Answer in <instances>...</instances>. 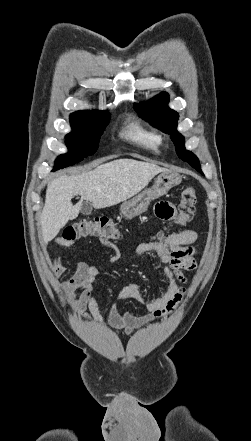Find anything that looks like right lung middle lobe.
<instances>
[{"label": "right lung middle lobe", "instance_id": "obj_1", "mask_svg": "<svg viewBox=\"0 0 251 441\" xmlns=\"http://www.w3.org/2000/svg\"><path fill=\"white\" fill-rule=\"evenodd\" d=\"M109 114L104 111H80L70 115L72 132L65 136L69 152L58 157L53 171L73 165L95 153L98 140L108 124Z\"/></svg>", "mask_w": 251, "mask_h": 441}]
</instances>
